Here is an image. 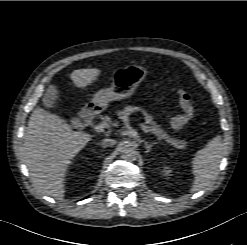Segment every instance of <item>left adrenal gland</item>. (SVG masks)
Listing matches in <instances>:
<instances>
[{
  "label": "left adrenal gland",
  "mask_w": 247,
  "mask_h": 245,
  "mask_svg": "<svg viewBox=\"0 0 247 245\" xmlns=\"http://www.w3.org/2000/svg\"><path fill=\"white\" fill-rule=\"evenodd\" d=\"M144 145H145V148H146V153L148 154L151 151V148L154 146V143L153 144H149L148 142L144 141Z\"/></svg>",
  "instance_id": "obj_1"
}]
</instances>
